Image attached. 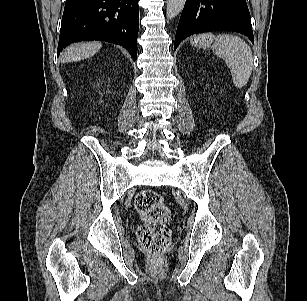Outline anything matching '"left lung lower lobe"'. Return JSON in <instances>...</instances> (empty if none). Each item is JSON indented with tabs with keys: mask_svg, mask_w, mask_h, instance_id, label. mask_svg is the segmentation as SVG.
Listing matches in <instances>:
<instances>
[{
	"mask_svg": "<svg viewBox=\"0 0 307 301\" xmlns=\"http://www.w3.org/2000/svg\"><path fill=\"white\" fill-rule=\"evenodd\" d=\"M216 30L240 32L254 43L246 1L186 0L176 31L174 49L192 34Z\"/></svg>",
	"mask_w": 307,
	"mask_h": 301,
	"instance_id": "left-lung-lower-lobe-1",
	"label": "left lung lower lobe"
}]
</instances>
